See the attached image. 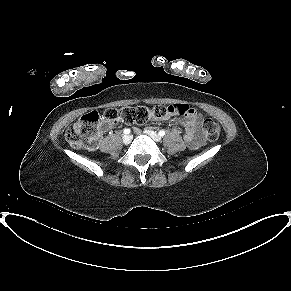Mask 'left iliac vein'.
<instances>
[{
  "label": "left iliac vein",
  "instance_id": "1",
  "mask_svg": "<svg viewBox=\"0 0 291 291\" xmlns=\"http://www.w3.org/2000/svg\"><path fill=\"white\" fill-rule=\"evenodd\" d=\"M144 133L148 136H150L155 142H160L161 141V137L154 131L146 129L144 131Z\"/></svg>",
  "mask_w": 291,
  "mask_h": 291
}]
</instances>
